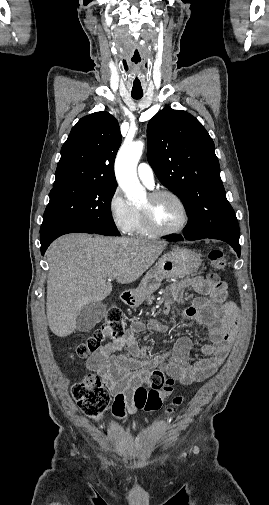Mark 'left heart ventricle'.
<instances>
[{
    "label": "left heart ventricle",
    "instance_id": "left-heart-ventricle-1",
    "mask_svg": "<svg viewBox=\"0 0 269 505\" xmlns=\"http://www.w3.org/2000/svg\"><path fill=\"white\" fill-rule=\"evenodd\" d=\"M140 207H148L154 223L162 229H172L183 221V210L176 200L169 196H162L151 201L148 195Z\"/></svg>",
    "mask_w": 269,
    "mask_h": 505
}]
</instances>
